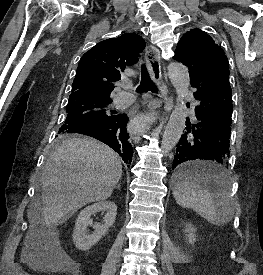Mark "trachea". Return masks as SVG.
I'll return each instance as SVG.
<instances>
[{
    "mask_svg": "<svg viewBox=\"0 0 263 275\" xmlns=\"http://www.w3.org/2000/svg\"><path fill=\"white\" fill-rule=\"evenodd\" d=\"M138 93H143L147 91H152L154 93H158V87L155 83L151 80L148 70L145 65L141 67V82L138 86L137 90Z\"/></svg>",
    "mask_w": 263,
    "mask_h": 275,
    "instance_id": "trachea-1",
    "label": "trachea"
}]
</instances>
